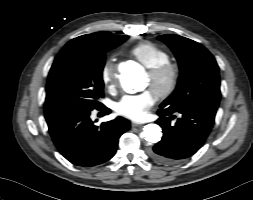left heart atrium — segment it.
<instances>
[{
	"label": "left heart atrium",
	"instance_id": "obj_1",
	"mask_svg": "<svg viewBox=\"0 0 253 200\" xmlns=\"http://www.w3.org/2000/svg\"><path fill=\"white\" fill-rule=\"evenodd\" d=\"M155 96L150 90L138 94L123 96L115 105L116 112L134 121L145 118L148 110L154 105Z\"/></svg>",
	"mask_w": 253,
	"mask_h": 200
}]
</instances>
